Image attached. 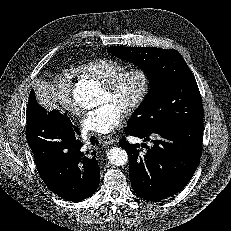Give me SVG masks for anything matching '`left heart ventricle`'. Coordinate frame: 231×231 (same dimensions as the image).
Wrapping results in <instances>:
<instances>
[{
	"label": "left heart ventricle",
	"instance_id": "b2bd125f",
	"mask_svg": "<svg viewBox=\"0 0 231 231\" xmlns=\"http://www.w3.org/2000/svg\"><path fill=\"white\" fill-rule=\"evenodd\" d=\"M140 88V78L132 75L125 79L118 91L114 94L102 89L100 104L108 101L115 103L122 110L136 96Z\"/></svg>",
	"mask_w": 231,
	"mask_h": 231
}]
</instances>
